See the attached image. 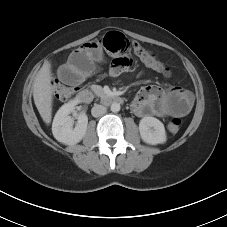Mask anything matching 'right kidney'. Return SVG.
<instances>
[{"label": "right kidney", "instance_id": "ca27d5eb", "mask_svg": "<svg viewBox=\"0 0 227 227\" xmlns=\"http://www.w3.org/2000/svg\"><path fill=\"white\" fill-rule=\"evenodd\" d=\"M78 99L64 104L56 113L52 123V133L55 139L66 145L80 142L86 134L88 118L85 113L78 116V122L73 128V119L69 116L74 112Z\"/></svg>", "mask_w": 227, "mask_h": 227}]
</instances>
